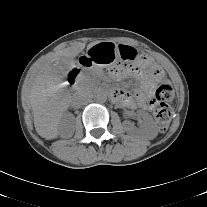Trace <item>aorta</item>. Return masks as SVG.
<instances>
[{
    "label": "aorta",
    "instance_id": "1",
    "mask_svg": "<svg viewBox=\"0 0 207 207\" xmlns=\"http://www.w3.org/2000/svg\"><path fill=\"white\" fill-rule=\"evenodd\" d=\"M97 102L105 103L107 101V94L104 91H99L95 96Z\"/></svg>",
    "mask_w": 207,
    "mask_h": 207
}]
</instances>
